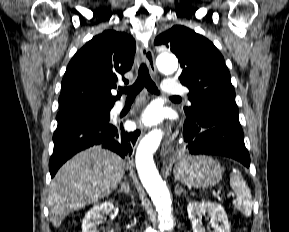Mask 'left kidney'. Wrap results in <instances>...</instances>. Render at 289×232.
Segmentation results:
<instances>
[{"mask_svg":"<svg viewBox=\"0 0 289 232\" xmlns=\"http://www.w3.org/2000/svg\"><path fill=\"white\" fill-rule=\"evenodd\" d=\"M188 217L192 224L193 232H205L202 226L201 215H210L212 232H230V225L224 208L214 202L192 201L187 206Z\"/></svg>","mask_w":289,"mask_h":232,"instance_id":"5707ae66","label":"left kidney"}]
</instances>
